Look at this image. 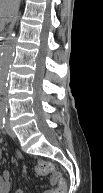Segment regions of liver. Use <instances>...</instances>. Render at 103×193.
Returning a JSON list of instances; mask_svg holds the SVG:
<instances>
[{
	"label": "liver",
	"instance_id": "obj_1",
	"mask_svg": "<svg viewBox=\"0 0 103 193\" xmlns=\"http://www.w3.org/2000/svg\"><path fill=\"white\" fill-rule=\"evenodd\" d=\"M19 0H0V15L9 18L18 8Z\"/></svg>",
	"mask_w": 103,
	"mask_h": 193
}]
</instances>
